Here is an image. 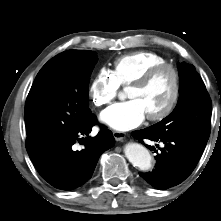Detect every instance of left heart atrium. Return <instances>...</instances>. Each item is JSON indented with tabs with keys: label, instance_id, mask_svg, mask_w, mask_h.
<instances>
[{
	"label": "left heart atrium",
	"instance_id": "1",
	"mask_svg": "<svg viewBox=\"0 0 221 221\" xmlns=\"http://www.w3.org/2000/svg\"><path fill=\"white\" fill-rule=\"evenodd\" d=\"M145 117V110L136 99L116 103L104 110L100 115L103 123L119 131L136 128L144 121Z\"/></svg>",
	"mask_w": 221,
	"mask_h": 221
}]
</instances>
